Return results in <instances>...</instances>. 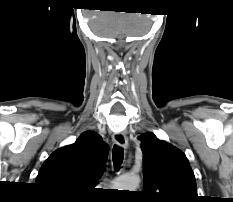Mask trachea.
Here are the masks:
<instances>
[{"label": "trachea", "mask_w": 233, "mask_h": 202, "mask_svg": "<svg viewBox=\"0 0 233 202\" xmlns=\"http://www.w3.org/2000/svg\"><path fill=\"white\" fill-rule=\"evenodd\" d=\"M112 159L116 168H118L122 164L124 159V150L122 147L114 145L112 150Z\"/></svg>", "instance_id": "3493384b"}]
</instances>
